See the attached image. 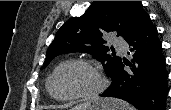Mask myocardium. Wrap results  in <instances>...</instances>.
Returning a JSON list of instances; mask_svg holds the SVG:
<instances>
[{
  "label": "myocardium",
  "instance_id": "obj_1",
  "mask_svg": "<svg viewBox=\"0 0 171 110\" xmlns=\"http://www.w3.org/2000/svg\"><path fill=\"white\" fill-rule=\"evenodd\" d=\"M73 64L82 65V66H85L88 69H90L96 76V79H97L96 87L89 92L76 93V94H72V95L64 96V97L55 95L53 93L52 87H51L52 80H53L54 76L61 68L65 67L67 65H73ZM105 87H106V79H105L104 75L102 74V72L100 71V69L97 66H95L93 63H91L90 61L84 60V59H68L66 61L61 62L51 72V74L49 75V77L47 79V84H46L48 93L50 94V96L52 98H54L57 101L94 99V98H97L104 91Z\"/></svg>",
  "mask_w": 171,
  "mask_h": 110
}]
</instances>
